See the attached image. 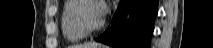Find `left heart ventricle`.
<instances>
[{"label":"left heart ventricle","instance_id":"1","mask_svg":"<svg viewBox=\"0 0 213 48\" xmlns=\"http://www.w3.org/2000/svg\"><path fill=\"white\" fill-rule=\"evenodd\" d=\"M81 15L88 26L97 25L100 20L98 5L96 3H87L81 10Z\"/></svg>","mask_w":213,"mask_h":48}]
</instances>
